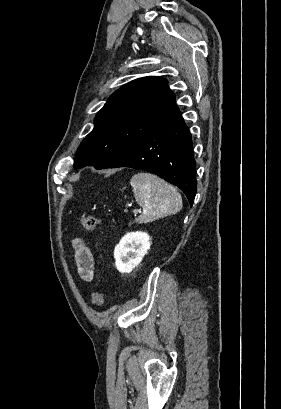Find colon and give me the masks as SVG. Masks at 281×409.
<instances>
[{
  "label": "colon",
  "instance_id": "5ec220e1",
  "mask_svg": "<svg viewBox=\"0 0 281 409\" xmlns=\"http://www.w3.org/2000/svg\"><path fill=\"white\" fill-rule=\"evenodd\" d=\"M79 221L87 231L94 230L100 225L99 220L93 215L81 214ZM93 304L96 310H101L104 304V293L101 288H97L93 294Z\"/></svg>",
  "mask_w": 281,
  "mask_h": 409
}]
</instances>
